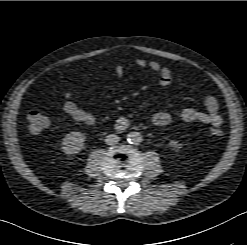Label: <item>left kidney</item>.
Here are the masks:
<instances>
[{"instance_id": "left-kidney-1", "label": "left kidney", "mask_w": 247, "mask_h": 245, "mask_svg": "<svg viewBox=\"0 0 247 245\" xmlns=\"http://www.w3.org/2000/svg\"><path fill=\"white\" fill-rule=\"evenodd\" d=\"M169 146L174 150H178L181 148V145L177 141H170Z\"/></svg>"}]
</instances>
